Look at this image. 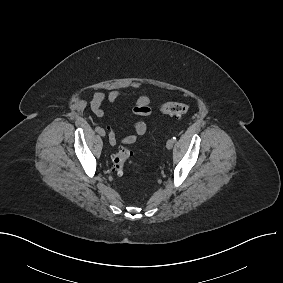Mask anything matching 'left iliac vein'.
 I'll use <instances>...</instances> for the list:
<instances>
[{"instance_id": "left-iliac-vein-1", "label": "left iliac vein", "mask_w": 283, "mask_h": 283, "mask_svg": "<svg viewBox=\"0 0 283 283\" xmlns=\"http://www.w3.org/2000/svg\"><path fill=\"white\" fill-rule=\"evenodd\" d=\"M174 140L173 139H169L166 143V147L167 149H172L173 145H174Z\"/></svg>"}]
</instances>
